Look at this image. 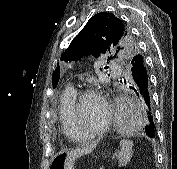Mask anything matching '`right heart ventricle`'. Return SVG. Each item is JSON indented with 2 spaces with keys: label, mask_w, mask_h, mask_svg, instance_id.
I'll return each mask as SVG.
<instances>
[{
  "label": "right heart ventricle",
  "mask_w": 177,
  "mask_h": 169,
  "mask_svg": "<svg viewBox=\"0 0 177 169\" xmlns=\"http://www.w3.org/2000/svg\"><path fill=\"white\" fill-rule=\"evenodd\" d=\"M77 91L71 87H66L60 97L59 102V118L61 128L65 137L71 141H78L75 138L72 121H71V107L76 98Z\"/></svg>",
  "instance_id": "obj_1"
}]
</instances>
